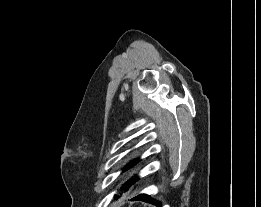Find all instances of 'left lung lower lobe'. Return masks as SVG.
I'll list each match as a JSON object with an SVG mask.
<instances>
[{"mask_svg":"<svg viewBox=\"0 0 261 207\" xmlns=\"http://www.w3.org/2000/svg\"><path fill=\"white\" fill-rule=\"evenodd\" d=\"M132 200H141V201H145L151 204L156 205L157 207H161V203L153 198H151L149 195L147 194H139L138 196H136L135 198H133Z\"/></svg>","mask_w":261,"mask_h":207,"instance_id":"left-lung-lower-lobe-1","label":"left lung lower lobe"}]
</instances>
